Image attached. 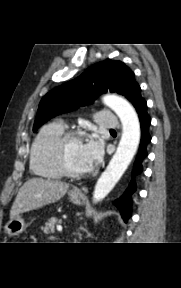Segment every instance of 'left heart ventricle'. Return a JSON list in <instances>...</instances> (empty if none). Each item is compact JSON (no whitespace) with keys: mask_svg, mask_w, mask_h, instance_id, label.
<instances>
[{"mask_svg":"<svg viewBox=\"0 0 181 288\" xmlns=\"http://www.w3.org/2000/svg\"><path fill=\"white\" fill-rule=\"evenodd\" d=\"M83 145V139H78L69 142L66 147V161L69 167L75 171H85L90 167L84 156Z\"/></svg>","mask_w":181,"mask_h":288,"instance_id":"obj_1","label":"left heart ventricle"}]
</instances>
